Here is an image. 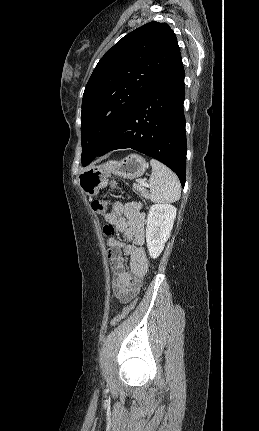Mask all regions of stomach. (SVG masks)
<instances>
[{
	"label": "stomach",
	"instance_id": "stomach-1",
	"mask_svg": "<svg viewBox=\"0 0 259 431\" xmlns=\"http://www.w3.org/2000/svg\"><path fill=\"white\" fill-rule=\"evenodd\" d=\"M147 167L146 160L133 153L121 161L111 160L100 166L83 170L78 176V184L81 190L91 197L107 186L111 174L132 180L142 176Z\"/></svg>",
	"mask_w": 259,
	"mask_h": 431
}]
</instances>
